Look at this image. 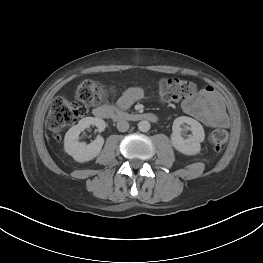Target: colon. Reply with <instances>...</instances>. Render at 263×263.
Wrapping results in <instances>:
<instances>
[{
    "label": "colon",
    "mask_w": 263,
    "mask_h": 263,
    "mask_svg": "<svg viewBox=\"0 0 263 263\" xmlns=\"http://www.w3.org/2000/svg\"><path fill=\"white\" fill-rule=\"evenodd\" d=\"M157 88L160 97L166 102L187 100L196 93V85L193 82L180 78L161 79ZM111 91V88L96 81L86 80L80 83L75 91V97L82 105L64 97H56L47 116L49 130L58 137L65 127L74 124L86 113L88 106L98 105ZM227 140L228 133L224 129H216L209 135V142L216 150H220Z\"/></svg>",
    "instance_id": "5ec220e1"
}]
</instances>
